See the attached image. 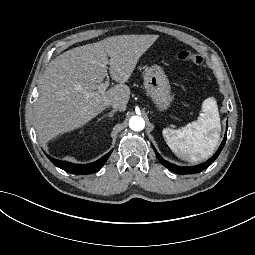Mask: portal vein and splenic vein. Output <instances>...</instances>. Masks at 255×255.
<instances>
[{"instance_id": "portal-vein-and-splenic-vein-1", "label": "portal vein and splenic vein", "mask_w": 255, "mask_h": 255, "mask_svg": "<svg viewBox=\"0 0 255 255\" xmlns=\"http://www.w3.org/2000/svg\"><path fill=\"white\" fill-rule=\"evenodd\" d=\"M109 85H110V80L109 78H107L104 83L99 84V87H98L99 92L104 93L106 89L109 87Z\"/></svg>"}]
</instances>
